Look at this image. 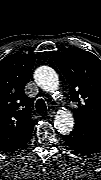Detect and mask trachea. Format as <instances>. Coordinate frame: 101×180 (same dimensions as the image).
<instances>
[{"instance_id": "obj_1", "label": "trachea", "mask_w": 101, "mask_h": 180, "mask_svg": "<svg viewBox=\"0 0 101 180\" xmlns=\"http://www.w3.org/2000/svg\"><path fill=\"white\" fill-rule=\"evenodd\" d=\"M36 110L38 113L46 111V105L45 102L42 99H39L36 102Z\"/></svg>"}]
</instances>
